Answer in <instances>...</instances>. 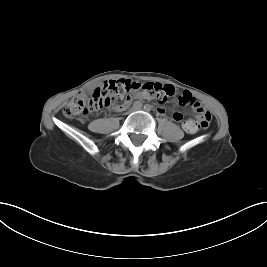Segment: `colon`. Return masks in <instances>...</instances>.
<instances>
[{
	"label": "colon",
	"instance_id": "colon-1",
	"mask_svg": "<svg viewBox=\"0 0 267 267\" xmlns=\"http://www.w3.org/2000/svg\"><path fill=\"white\" fill-rule=\"evenodd\" d=\"M134 94H140L147 99L165 103L173 95V91L171 86L166 84L152 82L141 84L132 81L118 80L107 86L96 89L89 97L77 94L65 103L63 112L70 118L84 120L89 114L109 106L116 100L130 99ZM179 103L193 106L195 112L194 123L197 128H208L211 122V115L201 104L197 103L192 96L182 93L179 97ZM179 118V114L174 115L175 120Z\"/></svg>",
	"mask_w": 267,
	"mask_h": 267
}]
</instances>
